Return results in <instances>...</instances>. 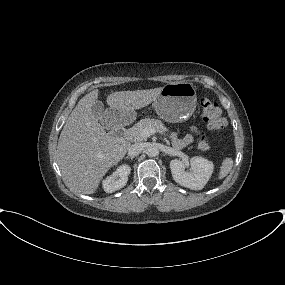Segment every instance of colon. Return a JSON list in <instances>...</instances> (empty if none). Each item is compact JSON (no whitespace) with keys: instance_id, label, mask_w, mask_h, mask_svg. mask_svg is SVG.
I'll return each instance as SVG.
<instances>
[{"instance_id":"1","label":"colon","mask_w":285,"mask_h":285,"mask_svg":"<svg viewBox=\"0 0 285 285\" xmlns=\"http://www.w3.org/2000/svg\"><path fill=\"white\" fill-rule=\"evenodd\" d=\"M202 117L207 128L212 131H219L226 126V120L222 117L221 109L218 103L210 98H202L200 100ZM198 147L202 151H207L210 144L205 132L201 133Z\"/></svg>"}]
</instances>
